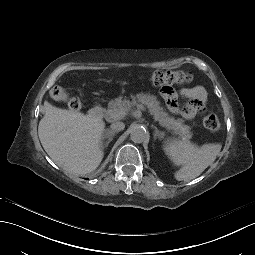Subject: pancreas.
<instances>
[{
  "instance_id": "cf45deb5",
  "label": "pancreas",
  "mask_w": 255,
  "mask_h": 255,
  "mask_svg": "<svg viewBox=\"0 0 255 255\" xmlns=\"http://www.w3.org/2000/svg\"><path fill=\"white\" fill-rule=\"evenodd\" d=\"M132 101L119 96L114 101L109 102V107L105 111V117L113 120H119L123 118L126 113L133 107L135 104H144L150 110L151 114L154 115V119L159 122L160 126L166 127L173 132V134L180 137L190 139L192 133L190 132V127L184 125V120L170 117L162 107H160L159 101L155 96L140 93L137 95H131Z\"/></svg>"
}]
</instances>
